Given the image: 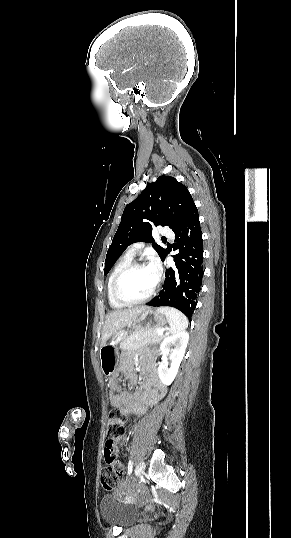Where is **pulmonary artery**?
<instances>
[{
    "label": "pulmonary artery",
    "instance_id": "e3ab8cb5",
    "mask_svg": "<svg viewBox=\"0 0 291 538\" xmlns=\"http://www.w3.org/2000/svg\"><path fill=\"white\" fill-rule=\"evenodd\" d=\"M160 234L161 236L165 238L172 239L174 237V233L170 229H166V228L162 229ZM143 246H144L143 243H134L127 249L126 254H128L131 257H134L142 250Z\"/></svg>",
    "mask_w": 291,
    "mask_h": 538
}]
</instances>
